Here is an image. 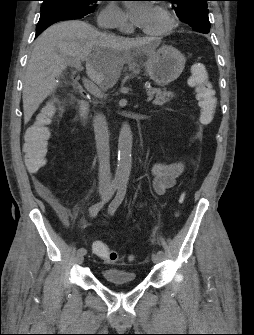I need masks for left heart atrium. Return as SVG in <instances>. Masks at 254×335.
<instances>
[{"instance_id": "obj_1", "label": "left heart atrium", "mask_w": 254, "mask_h": 335, "mask_svg": "<svg viewBox=\"0 0 254 335\" xmlns=\"http://www.w3.org/2000/svg\"><path fill=\"white\" fill-rule=\"evenodd\" d=\"M154 8L147 1H133L127 4V14L134 25L144 29L148 25Z\"/></svg>"}]
</instances>
